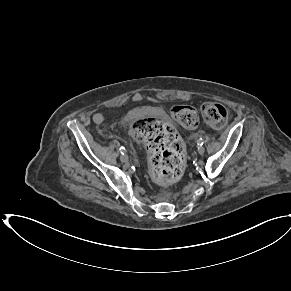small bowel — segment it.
<instances>
[{
    "label": "small bowel",
    "instance_id": "1",
    "mask_svg": "<svg viewBox=\"0 0 291 291\" xmlns=\"http://www.w3.org/2000/svg\"><path fill=\"white\" fill-rule=\"evenodd\" d=\"M93 120L95 123H102L104 121V115L101 114V113H96L94 116H93Z\"/></svg>",
    "mask_w": 291,
    "mask_h": 291
}]
</instances>
